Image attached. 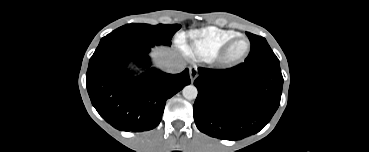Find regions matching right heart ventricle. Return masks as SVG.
Instances as JSON below:
<instances>
[{
  "label": "right heart ventricle",
  "instance_id": "right-heart-ventricle-1",
  "mask_svg": "<svg viewBox=\"0 0 369 152\" xmlns=\"http://www.w3.org/2000/svg\"><path fill=\"white\" fill-rule=\"evenodd\" d=\"M237 35L232 30L207 27L191 31L186 39L194 55L208 60L216 57L224 44Z\"/></svg>",
  "mask_w": 369,
  "mask_h": 152
}]
</instances>
